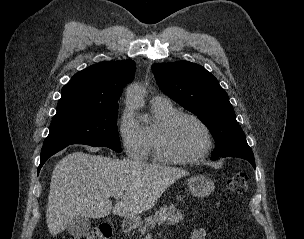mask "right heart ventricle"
Wrapping results in <instances>:
<instances>
[{
	"label": "right heart ventricle",
	"instance_id": "obj_1",
	"mask_svg": "<svg viewBox=\"0 0 304 239\" xmlns=\"http://www.w3.org/2000/svg\"><path fill=\"white\" fill-rule=\"evenodd\" d=\"M151 111L154 115V122L144 127L146 136L148 153L151 154L154 160L160 161L155 153V138L161 124L171 115L177 112L176 108L168 100L152 101Z\"/></svg>",
	"mask_w": 304,
	"mask_h": 239
}]
</instances>
